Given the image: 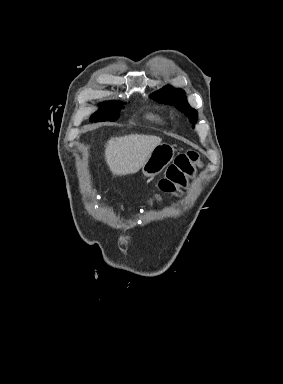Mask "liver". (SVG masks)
I'll return each instance as SVG.
<instances>
[{"label":"liver","mask_w":283,"mask_h":384,"mask_svg":"<svg viewBox=\"0 0 283 384\" xmlns=\"http://www.w3.org/2000/svg\"><path fill=\"white\" fill-rule=\"evenodd\" d=\"M162 142L158 136L131 134L110 138L105 148V160L114 176L136 174L144 166L153 148Z\"/></svg>","instance_id":"obj_1"}]
</instances>
